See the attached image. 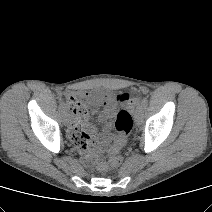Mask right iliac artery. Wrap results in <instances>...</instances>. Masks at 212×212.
Segmentation results:
<instances>
[{
  "label": "right iliac artery",
  "instance_id": "obj_1",
  "mask_svg": "<svg viewBox=\"0 0 212 212\" xmlns=\"http://www.w3.org/2000/svg\"><path fill=\"white\" fill-rule=\"evenodd\" d=\"M59 109H60L61 112H64V110H65V106H64V104H63L62 101H60V107H59Z\"/></svg>",
  "mask_w": 212,
  "mask_h": 212
}]
</instances>
